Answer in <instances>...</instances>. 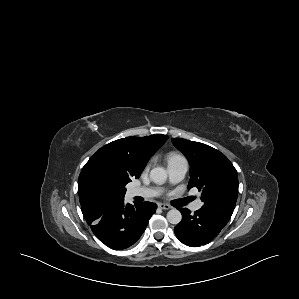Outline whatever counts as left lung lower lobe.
Listing matches in <instances>:
<instances>
[{
  "label": "left lung lower lobe",
  "instance_id": "obj_1",
  "mask_svg": "<svg viewBox=\"0 0 299 299\" xmlns=\"http://www.w3.org/2000/svg\"><path fill=\"white\" fill-rule=\"evenodd\" d=\"M182 221L174 228L177 238L190 247L209 243L227 224L207 211L199 209L191 214L187 208H180Z\"/></svg>",
  "mask_w": 299,
  "mask_h": 299
}]
</instances>
